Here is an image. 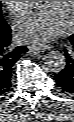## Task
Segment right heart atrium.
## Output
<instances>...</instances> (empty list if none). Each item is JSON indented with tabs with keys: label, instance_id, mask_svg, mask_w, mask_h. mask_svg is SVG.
<instances>
[{
	"label": "right heart atrium",
	"instance_id": "1",
	"mask_svg": "<svg viewBox=\"0 0 74 122\" xmlns=\"http://www.w3.org/2000/svg\"><path fill=\"white\" fill-rule=\"evenodd\" d=\"M7 8L14 14V15H21L26 10H24L28 4L29 1H4ZM24 10V11H23ZM17 16V17H18Z\"/></svg>",
	"mask_w": 74,
	"mask_h": 122
}]
</instances>
